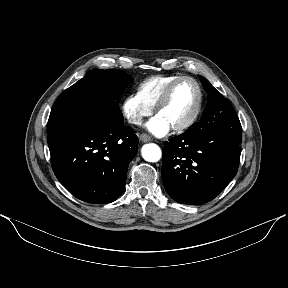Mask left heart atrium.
<instances>
[{"label":"left heart atrium","mask_w":288,"mask_h":288,"mask_svg":"<svg viewBox=\"0 0 288 288\" xmlns=\"http://www.w3.org/2000/svg\"><path fill=\"white\" fill-rule=\"evenodd\" d=\"M147 128L157 136H163L170 130V125L160 116H155L147 123Z\"/></svg>","instance_id":"39dd6f15"}]
</instances>
